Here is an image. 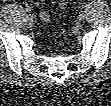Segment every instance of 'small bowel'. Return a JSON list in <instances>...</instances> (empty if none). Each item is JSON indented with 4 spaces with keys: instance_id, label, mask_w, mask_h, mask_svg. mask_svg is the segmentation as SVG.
<instances>
[{
    "instance_id": "1",
    "label": "small bowel",
    "mask_w": 111,
    "mask_h": 106,
    "mask_svg": "<svg viewBox=\"0 0 111 106\" xmlns=\"http://www.w3.org/2000/svg\"><path fill=\"white\" fill-rule=\"evenodd\" d=\"M67 5V2L65 0H60L57 2V7L59 9H64ZM53 11L52 10H44L41 12L40 17L42 20H49L50 17L52 16Z\"/></svg>"
}]
</instances>
